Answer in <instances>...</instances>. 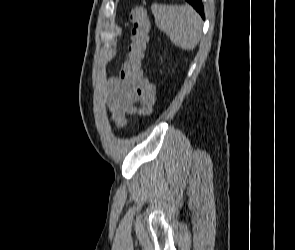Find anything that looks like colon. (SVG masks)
Here are the masks:
<instances>
[{"instance_id":"1","label":"colon","mask_w":295,"mask_h":250,"mask_svg":"<svg viewBox=\"0 0 295 250\" xmlns=\"http://www.w3.org/2000/svg\"><path fill=\"white\" fill-rule=\"evenodd\" d=\"M130 20L131 42L128 58L122 65L120 76L134 86L142 102L143 114L150 115L156 102L155 89L142 70V62L150 40V20L141 7L131 11Z\"/></svg>"}]
</instances>
